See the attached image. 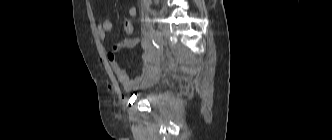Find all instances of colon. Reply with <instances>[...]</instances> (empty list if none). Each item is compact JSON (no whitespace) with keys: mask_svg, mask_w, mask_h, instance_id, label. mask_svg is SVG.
<instances>
[{"mask_svg":"<svg viewBox=\"0 0 332 140\" xmlns=\"http://www.w3.org/2000/svg\"><path fill=\"white\" fill-rule=\"evenodd\" d=\"M123 31L127 37H130L134 34V26L131 21L125 20L123 23Z\"/></svg>","mask_w":332,"mask_h":140,"instance_id":"5ec220e1","label":"colon"}]
</instances>
